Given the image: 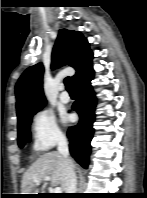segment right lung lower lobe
<instances>
[{
    "label": "right lung lower lobe",
    "mask_w": 147,
    "mask_h": 198,
    "mask_svg": "<svg viewBox=\"0 0 147 198\" xmlns=\"http://www.w3.org/2000/svg\"><path fill=\"white\" fill-rule=\"evenodd\" d=\"M93 77L94 71L91 69L75 82L78 100L73 104L72 109L79 114L80 119L77 125L69 128L67 133L68 138L71 139L70 153L84 168L89 164L90 142L94 132L92 124L95 119L96 98L90 84Z\"/></svg>",
    "instance_id": "obj_1"
}]
</instances>
